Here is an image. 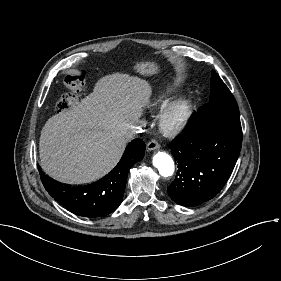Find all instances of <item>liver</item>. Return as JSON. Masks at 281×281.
Listing matches in <instances>:
<instances>
[{"mask_svg": "<svg viewBox=\"0 0 281 281\" xmlns=\"http://www.w3.org/2000/svg\"><path fill=\"white\" fill-rule=\"evenodd\" d=\"M146 80L127 74L99 79L71 110L47 120L41 131L42 169L69 184L97 180L114 167L131 140L132 124L150 106Z\"/></svg>", "mask_w": 281, "mask_h": 281, "instance_id": "liver-1", "label": "liver"}]
</instances>
